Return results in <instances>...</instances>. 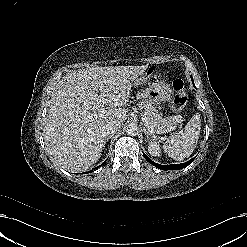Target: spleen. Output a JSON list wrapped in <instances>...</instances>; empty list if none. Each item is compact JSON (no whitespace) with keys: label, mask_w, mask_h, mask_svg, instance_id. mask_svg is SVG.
<instances>
[{"label":"spleen","mask_w":247,"mask_h":247,"mask_svg":"<svg viewBox=\"0 0 247 247\" xmlns=\"http://www.w3.org/2000/svg\"><path fill=\"white\" fill-rule=\"evenodd\" d=\"M201 129L199 114H195L186 124L184 130L167 138L163 149L169 157L176 161H183L189 157L196 148Z\"/></svg>","instance_id":"obj_1"}]
</instances>
